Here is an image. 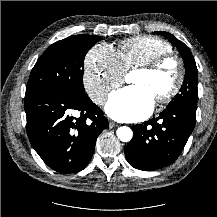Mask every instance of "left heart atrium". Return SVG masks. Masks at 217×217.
I'll return each instance as SVG.
<instances>
[{"label": "left heart atrium", "instance_id": "obj_1", "mask_svg": "<svg viewBox=\"0 0 217 217\" xmlns=\"http://www.w3.org/2000/svg\"><path fill=\"white\" fill-rule=\"evenodd\" d=\"M154 101L145 88L132 85L113 93L105 109L115 120L139 121L151 113Z\"/></svg>", "mask_w": 217, "mask_h": 217}]
</instances>
